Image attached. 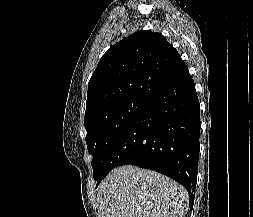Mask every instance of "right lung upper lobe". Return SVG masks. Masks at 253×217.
Masks as SVG:
<instances>
[{"label": "right lung upper lobe", "mask_w": 253, "mask_h": 217, "mask_svg": "<svg viewBox=\"0 0 253 217\" xmlns=\"http://www.w3.org/2000/svg\"><path fill=\"white\" fill-rule=\"evenodd\" d=\"M186 67L160 33L138 31L109 48L88 83L85 120L128 97L150 98Z\"/></svg>", "instance_id": "obj_1"}]
</instances>
